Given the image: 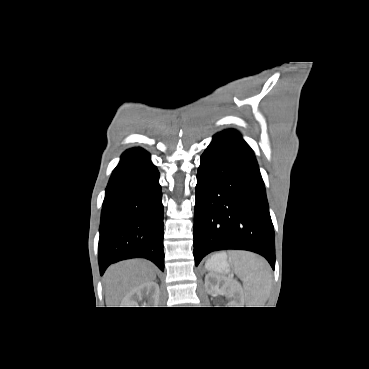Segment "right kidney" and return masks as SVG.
<instances>
[{
	"label": "right kidney",
	"instance_id": "ca27d5eb",
	"mask_svg": "<svg viewBox=\"0 0 369 369\" xmlns=\"http://www.w3.org/2000/svg\"><path fill=\"white\" fill-rule=\"evenodd\" d=\"M147 295L148 302H144L141 307H156L159 301V285L156 282H146L131 290L122 300L121 307H139V301Z\"/></svg>",
	"mask_w": 369,
	"mask_h": 369
}]
</instances>
